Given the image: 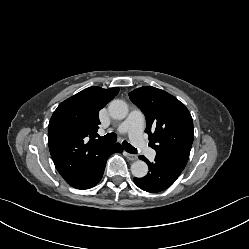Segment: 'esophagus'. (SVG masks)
Returning a JSON list of instances; mask_svg holds the SVG:
<instances>
[{
  "label": "esophagus",
  "instance_id": "1",
  "mask_svg": "<svg viewBox=\"0 0 249 249\" xmlns=\"http://www.w3.org/2000/svg\"><path fill=\"white\" fill-rule=\"evenodd\" d=\"M124 155L131 161H135L138 159V156L137 155H134V154H130L128 152H124Z\"/></svg>",
  "mask_w": 249,
  "mask_h": 249
}]
</instances>
